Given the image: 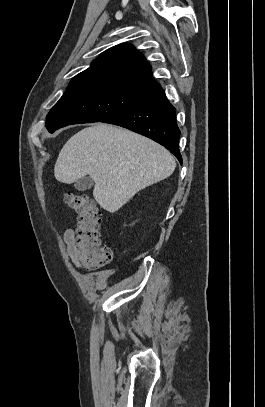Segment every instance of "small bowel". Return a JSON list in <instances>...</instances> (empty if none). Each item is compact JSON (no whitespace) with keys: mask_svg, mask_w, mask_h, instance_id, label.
<instances>
[{"mask_svg":"<svg viewBox=\"0 0 265 407\" xmlns=\"http://www.w3.org/2000/svg\"><path fill=\"white\" fill-rule=\"evenodd\" d=\"M62 238L73 265L78 269H83V267L76 261L75 231L73 229H66L62 234Z\"/></svg>","mask_w":265,"mask_h":407,"instance_id":"1","label":"small bowel"}]
</instances>
